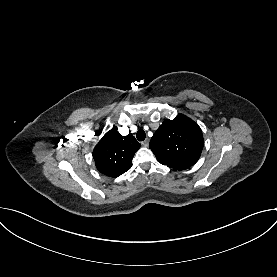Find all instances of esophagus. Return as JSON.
<instances>
[{
    "instance_id": "obj_1",
    "label": "esophagus",
    "mask_w": 277,
    "mask_h": 277,
    "mask_svg": "<svg viewBox=\"0 0 277 277\" xmlns=\"http://www.w3.org/2000/svg\"><path fill=\"white\" fill-rule=\"evenodd\" d=\"M141 145L144 146V147H148V145H149V139H145L144 141H142Z\"/></svg>"
}]
</instances>
